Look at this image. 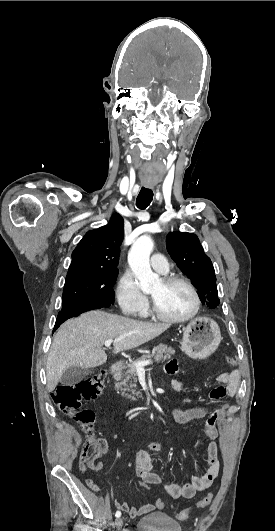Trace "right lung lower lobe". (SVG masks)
<instances>
[{"label": "right lung lower lobe", "mask_w": 275, "mask_h": 531, "mask_svg": "<svg viewBox=\"0 0 275 531\" xmlns=\"http://www.w3.org/2000/svg\"><path fill=\"white\" fill-rule=\"evenodd\" d=\"M102 308V306L95 305V304H87L82 302H67L63 303L62 309L59 312L57 316V320L53 329V332L56 331V329L67 319L79 316L80 314Z\"/></svg>", "instance_id": "obj_1"}]
</instances>
